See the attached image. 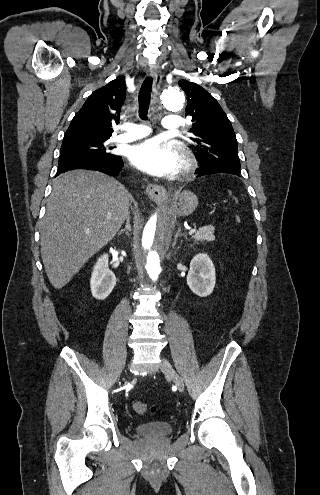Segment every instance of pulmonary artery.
<instances>
[{"mask_svg":"<svg viewBox=\"0 0 320 495\" xmlns=\"http://www.w3.org/2000/svg\"><path fill=\"white\" fill-rule=\"evenodd\" d=\"M182 120L178 116H167L163 119L162 125L167 131H177L181 128ZM150 134V129L143 124H128L125 132L116 137L118 142H131L143 138Z\"/></svg>","mask_w":320,"mask_h":495,"instance_id":"1","label":"pulmonary artery"}]
</instances>
